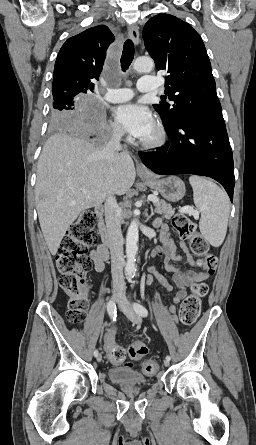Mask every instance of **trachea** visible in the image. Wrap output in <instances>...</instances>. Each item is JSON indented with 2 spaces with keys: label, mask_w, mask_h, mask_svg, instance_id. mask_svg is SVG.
<instances>
[{
  "label": "trachea",
  "mask_w": 256,
  "mask_h": 445,
  "mask_svg": "<svg viewBox=\"0 0 256 445\" xmlns=\"http://www.w3.org/2000/svg\"><path fill=\"white\" fill-rule=\"evenodd\" d=\"M134 54V44L131 40L128 39L124 43L123 52L120 60L122 71L125 72L129 68L131 62L134 59Z\"/></svg>",
  "instance_id": "1"
}]
</instances>
